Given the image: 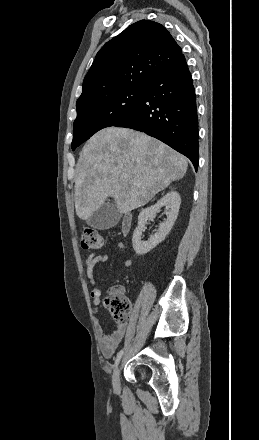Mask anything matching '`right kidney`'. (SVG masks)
<instances>
[{"label":"right kidney","instance_id":"ca27d5eb","mask_svg":"<svg viewBox=\"0 0 259 440\" xmlns=\"http://www.w3.org/2000/svg\"><path fill=\"white\" fill-rule=\"evenodd\" d=\"M181 198L176 191H170L155 205L143 209L138 216V226L132 236L133 249L138 255H145L161 243L172 229L179 212ZM165 206L168 209L167 219L159 225L158 231L147 241L141 240L142 232L148 219H152Z\"/></svg>","mask_w":259,"mask_h":440}]
</instances>
